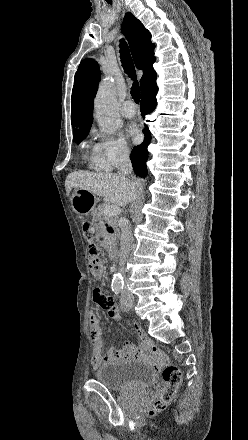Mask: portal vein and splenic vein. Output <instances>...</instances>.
Returning a JSON list of instances; mask_svg holds the SVG:
<instances>
[{
  "label": "portal vein and splenic vein",
  "mask_w": 248,
  "mask_h": 440,
  "mask_svg": "<svg viewBox=\"0 0 248 440\" xmlns=\"http://www.w3.org/2000/svg\"><path fill=\"white\" fill-rule=\"evenodd\" d=\"M121 212V209L117 205H107L104 209V213L109 216H117Z\"/></svg>",
  "instance_id": "obj_1"
}]
</instances>
